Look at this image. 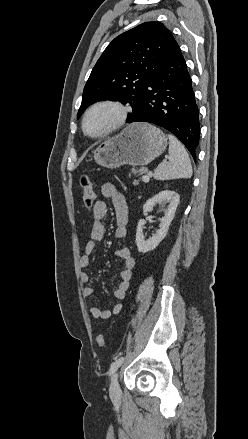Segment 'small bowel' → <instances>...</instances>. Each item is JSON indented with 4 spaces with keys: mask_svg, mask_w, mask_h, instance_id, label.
<instances>
[{
    "mask_svg": "<svg viewBox=\"0 0 248 439\" xmlns=\"http://www.w3.org/2000/svg\"><path fill=\"white\" fill-rule=\"evenodd\" d=\"M101 193L105 198L112 201L116 214V230L115 237L117 239H123L127 236V223H128V206L127 201L123 193H121L113 184L105 183L101 187ZM107 213V205L103 200H98L93 206V218L94 222L90 232V239L85 245V254L80 258V267L85 269L90 265V255L95 252L97 244L103 240L105 234V226L102 222ZM116 256L123 261V269L119 273V283L113 290L114 297L118 299V302L112 310H102L98 307L92 306L89 308V312L95 319L106 320L112 315H117L122 310L121 300L124 299L126 292L130 286L132 278V271L135 267V259L131 255L130 250L127 247L118 248L115 252ZM80 281L84 284L89 283L90 276L87 272L82 271L80 273ZM94 289L90 285H86L82 289V294L85 297L92 296Z\"/></svg>",
    "mask_w": 248,
    "mask_h": 439,
    "instance_id": "c3829d8e",
    "label": "small bowel"
}]
</instances>
